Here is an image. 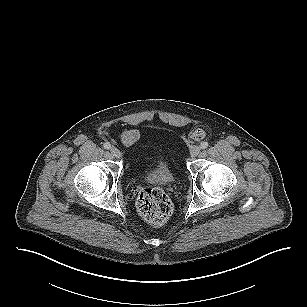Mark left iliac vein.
I'll return each instance as SVG.
<instances>
[{
	"instance_id": "obj_1",
	"label": "left iliac vein",
	"mask_w": 307,
	"mask_h": 307,
	"mask_svg": "<svg viewBox=\"0 0 307 307\" xmlns=\"http://www.w3.org/2000/svg\"><path fill=\"white\" fill-rule=\"evenodd\" d=\"M200 151H201V147L198 145H195L190 150V156L196 157L200 153Z\"/></svg>"
}]
</instances>
